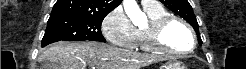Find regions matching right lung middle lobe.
<instances>
[{"label": "right lung middle lobe", "instance_id": "right-lung-middle-lobe-1", "mask_svg": "<svg viewBox=\"0 0 246 69\" xmlns=\"http://www.w3.org/2000/svg\"><path fill=\"white\" fill-rule=\"evenodd\" d=\"M104 17L65 16L49 18L42 45L61 40L106 42L100 30Z\"/></svg>", "mask_w": 246, "mask_h": 69}]
</instances>
